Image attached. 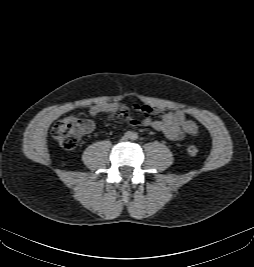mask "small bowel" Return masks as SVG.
Masks as SVG:
<instances>
[{"label":"small bowel","mask_w":254,"mask_h":267,"mask_svg":"<svg viewBox=\"0 0 254 267\" xmlns=\"http://www.w3.org/2000/svg\"><path fill=\"white\" fill-rule=\"evenodd\" d=\"M135 109L144 114V118L138 121L129 114V108L117 102H101L90 107L91 116L100 114H118L120 118L132 126L142 125L151 127L156 131L162 132L169 140L178 141L185 135H195L198 131L197 124L186 118L183 111L165 112L161 109L149 105H135ZM159 115L158 119L154 116Z\"/></svg>","instance_id":"c3829d8e"}]
</instances>
